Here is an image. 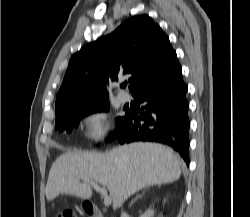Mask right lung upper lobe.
Listing matches in <instances>:
<instances>
[{
	"instance_id": "right-lung-upper-lobe-1",
	"label": "right lung upper lobe",
	"mask_w": 250,
	"mask_h": 217,
	"mask_svg": "<svg viewBox=\"0 0 250 217\" xmlns=\"http://www.w3.org/2000/svg\"><path fill=\"white\" fill-rule=\"evenodd\" d=\"M176 53L168 37L147 15L134 16L112 34L84 46L70 59L56 96V119L108 101L109 78L131 75L133 93L155 76Z\"/></svg>"
}]
</instances>
